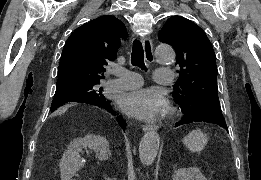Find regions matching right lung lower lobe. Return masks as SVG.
Returning <instances> with one entry per match:
<instances>
[{
    "label": "right lung lower lobe",
    "instance_id": "98d812e1",
    "mask_svg": "<svg viewBox=\"0 0 261 180\" xmlns=\"http://www.w3.org/2000/svg\"><path fill=\"white\" fill-rule=\"evenodd\" d=\"M79 102L92 104V105L99 106V107H104L106 110H109L110 112H112L111 108L109 107V102L106 99L98 100V101H92V102H84V101H79ZM117 122L122 127V129H125L126 122H125V120L123 118L117 117Z\"/></svg>",
    "mask_w": 261,
    "mask_h": 180
}]
</instances>
